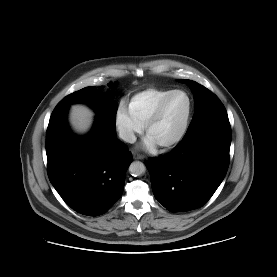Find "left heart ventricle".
<instances>
[{"instance_id":"1","label":"left heart ventricle","mask_w":277,"mask_h":277,"mask_svg":"<svg viewBox=\"0 0 277 277\" xmlns=\"http://www.w3.org/2000/svg\"><path fill=\"white\" fill-rule=\"evenodd\" d=\"M188 99L182 93L175 94L166 104L158 121L148 135L157 145L173 139L182 129L188 112Z\"/></svg>"}]
</instances>
